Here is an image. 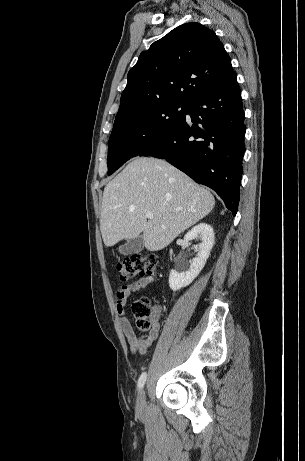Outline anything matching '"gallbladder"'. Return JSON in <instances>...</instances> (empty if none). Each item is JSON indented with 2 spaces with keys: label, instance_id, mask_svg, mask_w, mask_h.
I'll list each match as a JSON object with an SVG mask.
<instances>
[{
  "label": "gallbladder",
  "instance_id": "1",
  "mask_svg": "<svg viewBox=\"0 0 305 461\" xmlns=\"http://www.w3.org/2000/svg\"><path fill=\"white\" fill-rule=\"evenodd\" d=\"M144 248V239L142 234L139 235L138 237L129 240L126 242L124 245L120 246L118 248L119 253L123 255H131V254H136L142 251Z\"/></svg>",
  "mask_w": 305,
  "mask_h": 461
}]
</instances>
